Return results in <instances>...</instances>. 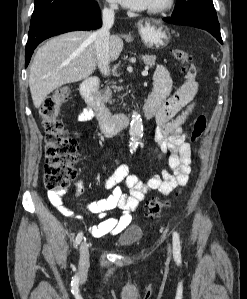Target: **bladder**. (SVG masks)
<instances>
[{"instance_id": "1", "label": "bladder", "mask_w": 247, "mask_h": 299, "mask_svg": "<svg viewBox=\"0 0 247 299\" xmlns=\"http://www.w3.org/2000/svg\"><path fill=\"white\" fill-rule=\"evenodd\" d=\"M143 238V230L138 226L128 228L117 240L118 245L131 247L140 243Z\"/></svg>"}]
</instances>
